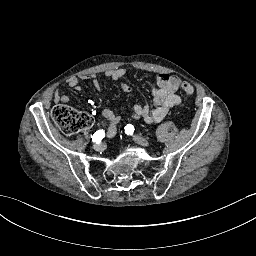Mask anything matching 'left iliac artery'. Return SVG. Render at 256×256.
Returning a JSON list of instances; mask_svg holds the SVG:
<instances>
[{
	"label": "left iliac artery",
	"instance_id": "left-iliac-artery-1",
	"mask_svg": "<svg viewBox=\"0 0 256 256\" xmlns=\"http://www.w3.org/2000/svg\"><path fill=\"white\" fill-rule=\"evenodd\" d=\"M124 129L127 135H132L134 132V126L131 124H127Z\"/></svg>",
	"mask_w": 256,
	"mask_h": 256
}]
</instances>
